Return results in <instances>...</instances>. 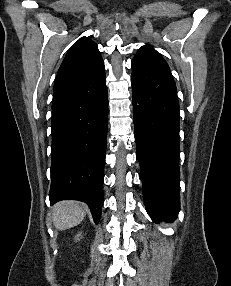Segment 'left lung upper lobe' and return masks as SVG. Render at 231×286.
Returning a JSON list of instances; mask_svg holds the SVG:
<instances>
[{
    "instance_id": "1",
    "label": "left lung upper lobe",
    "mask_w": 231,
    "mask_h": 286,
    "mask_svg": "<svg viewBox=\"0 0 231 286\" xmlns=\"http://www.w3.org/2000/svg\"><path fill=\"white\" fill-rule=\"evenodd\" d=\"M134 59L145 61L151 64L163 66L169 69L168 64L163 59L161 54L157 52L153 47L151 46H142L139 50Z\"/></svg>"
}]
</instances>
